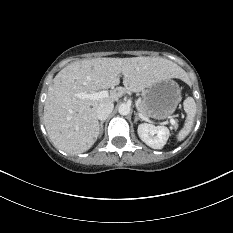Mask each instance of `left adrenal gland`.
<instances>
[{"label":"left adrenal gland","mask_w":233,"mask_h":233,"mask_svg":"<svg viewBox=\"0 0 233 233\" xmlns=\"http://www.w3.org/2000/svg\"><path fill=\"white\" fill-rule=\"evenodd\" d=\"M134 115H135L134 123H137L138 120L141 121V118L137 115L136 112H134Z\"/></svg>","instance_id":"a2214340"}]
</instances>
